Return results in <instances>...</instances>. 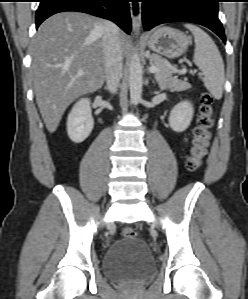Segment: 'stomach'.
Returning a JSON list of instances; mask_svg holds the SVG:
<instances>
[{
	"label": "stomach",
	"instance_id": "1",
	"mask_svg": "<svg viewBox=\"0 0 248 299\" xmlns=\"http://www.w3.org/2000/svg\"><path fill=\"white\" fill-rule=\"evenodd\" d=\"M189 44V37L185 33L171 27H159L147 40L149 49L168 58L179 57Z\"/></svg>",
	"mask_w": 248,
	"mask_h": 299
}]
</instances>
